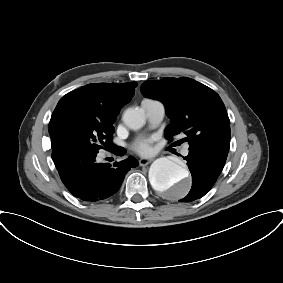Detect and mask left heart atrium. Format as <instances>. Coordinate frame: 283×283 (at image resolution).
<instances>
[{
  "instance_id": "obj_1",
  "label": "left heart atrium",
  "mask_w": 283,
  "mask_h": 283,
  "mask_svg": "<svg viewBox=\"0 0 283 283\" xmlns=\"http://www.w3.org/2000/svg\"><path fill=\"white\" fill-rule=\"evenodd\" d=\"M153 141L154 138L140 140L135 143L133 148L138 154L142 156H150L154 151L152 146Z\"/></svg>"
}]
</instances>
